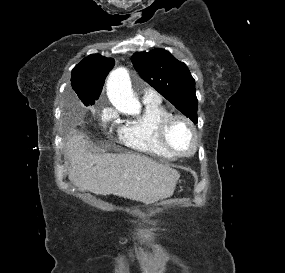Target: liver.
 Instances as JSON below:
<instances>
[{"label":"liver","instance_id":"liver-1","mask_svg":"<svg viewBox=\"0 0 285 273\" xmlns=\"http://www.w3.org/2000/svg\"><path fill=\"white\" fill-rule=\"evenodd\" d=\"M84 135L66 142L69 180L81 191L116 195L151 204L173 195L180 174L167 164L133 153L92 154Z\"/></svg>","mask_w":285,"mask_h":273}]
</instances>
